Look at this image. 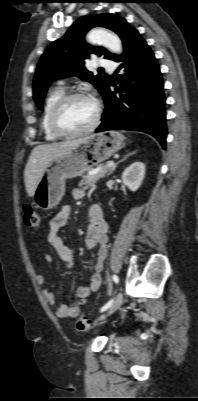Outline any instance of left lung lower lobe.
<instances>
[{"label":"left lung lower lobe","mask_w":198,"mask_h":401,"mask_svg":"<svg viewBox=\"0 0 198 401\" xmlns=\"http://www.w3.org/2000/svg\"><path fill=\"white\" fill-rule=\"evenodd\" d=\"M114 61H123L124 74L117 75L119 86L111 91L105 84L102 123L96 132L136 130L153 135L165 149L166 117L163 79L154 53L134 29L124 46V53Z\"/></svg>","instance_id":"obj_1"}]
</instances>
